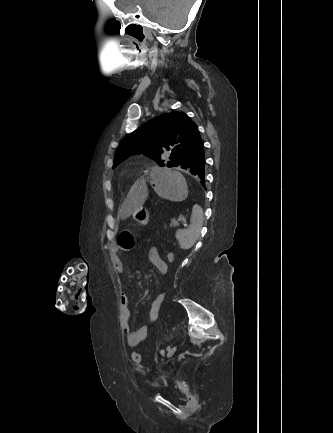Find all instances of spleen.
<instances>
[{"label":"spleen","instance_id":"1","mask_svg":"<svg viewBox=\"0 0 333 433\" xmlns=\"http://www.w3.org/2000/svg\"><path fill=\"white\" fill-rule=\"evenodd\" d=\"M202 218V208L199 206L194 207L189 227L186 229H179L176 232V238L182 249H190L199 238L203 224Z\"/></svg>","mask_w":333,"mask_h":433}]
</instances>
